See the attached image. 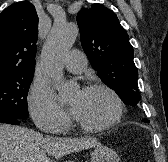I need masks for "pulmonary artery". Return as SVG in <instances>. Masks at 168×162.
Listing matches in <instances>:
<instances>
[{"mask_svg":"<svg viewBox=\"0 0 168 162\" xmlns=\"http://www.w3.org/2000/svg\"><path fill=\"white\" fill-rule=\"evenodd\" d=\"M63 64L68 71L81 73L87 67V57L80 50L74 49L66 54Z\"/></svg>","mask_w":168,"mask_h":162,"instance_id":"pulmonary-artery-1","label":"pulmonary artery"}]
</instances>
